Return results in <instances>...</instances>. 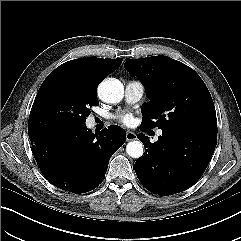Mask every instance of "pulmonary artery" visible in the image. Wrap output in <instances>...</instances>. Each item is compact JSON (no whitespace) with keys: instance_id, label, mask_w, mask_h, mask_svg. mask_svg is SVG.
I'll list each match as a JSON object with an SVG mask.
<instances>
[{"instance_id":"obj_1","label":"pulmonary artery","mask_w":241,"mask_h":241,"mask_svg":"<svg viewBox=\"0 0 241 241\" xmlns=\"http://www.w3.org/2000/svg\"><path fill=\"white\" fill-rule=\"evenodd\" d=\"M145 92V86L138 80H130L125 86V99L128 103H135L139 101ZM161 131L157 135H161Z\"/></svg>"}]
</instances>
